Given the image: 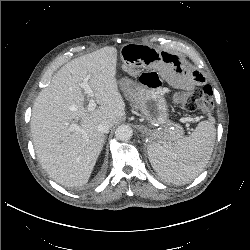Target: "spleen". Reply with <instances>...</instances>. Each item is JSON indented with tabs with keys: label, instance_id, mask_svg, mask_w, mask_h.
Wrapping results in <instances>:
<instances>
[{
	"label": "spleen",
	"instance_id": "3e777b00",
	"mask_svg": "<svg viewBox=\"0 0 250 250\" xmlns=\"http://www.w3.org/2000/svg\"><path fill=\"white\" fill-rule=\"evenodd\" d=\"M216 136L214 118L200 122L188 137L174 143L152 142L147 149L150 163L165 182L182 185L195 179L208 163Z\"/></svg>",
	"mask_w": 250,
	"mask_h": 250
}]
</instances>
